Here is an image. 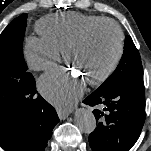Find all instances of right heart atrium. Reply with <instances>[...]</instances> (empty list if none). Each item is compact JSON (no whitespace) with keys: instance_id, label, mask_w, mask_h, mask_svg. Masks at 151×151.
I'll list each match as a JSON object with an SVG mask.
<instances>
[{"instance_id":"right-heart-atrium-1","label":"right heart atrium","mask_w":151,"mask_h":151,"mask_svg":"<svg viewBox=\"0 0 151 151\" xmlns=\"http://www.w3.org/2000/svg\"><path fill=\"white\" fill-rule=\"evenodd\" d=\"M24 55L29 67L35 71L52 68L60 59V51L42 37H29L24 48Z\"/></svg>"}]
</instances>
